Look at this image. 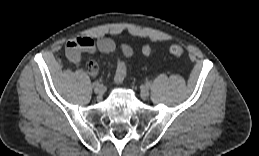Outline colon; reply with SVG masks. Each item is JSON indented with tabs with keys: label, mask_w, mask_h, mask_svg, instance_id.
I'll return each mask as SVG.
<instances>
[{
	"label": "colon",
	"mask_w": 259,
	"mask_h": 156,
	"mask_svg": "<svg viewBox=\"0 0 259 156\" xmlns=\"http://www.w3.org/2000/svg\"><path fill=\"white\" fill-rule=\"evenodd\" d=\"M168 53L173 57H181L183 54V48L179 44H170L167 47ZM143 56L148 57L152 54L153 48L151 45H144L141 49ZM127 74V67L123 60L118 59L116 64V71L114 80L117 84L123 83Z\"/></svg>",
	"instance_id": "5ec220e1"
}]
</instances>
